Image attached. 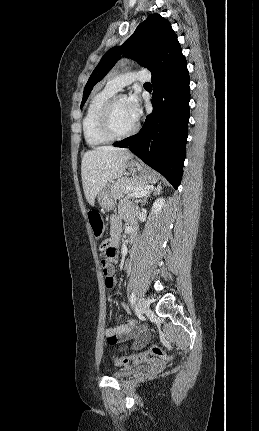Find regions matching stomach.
<instances>
[{"instance_id":"0dacf381","label":"stomach","mask_w":259,"mask_h":431,"mask_svg":"<svg viewBox=\"0 0 259 431\" xmlns=\"http://www.w3.org/2000/svg\"><path fill=\"white\" fill-rule=\"evenodd\" d=\"M128 169L133 176V178L144 182L145 184L148 183H156L158 181L157 174L149 169L148 167L144 166L142 163H139L137 161L131 160L128 162ZM98 202L99 204L109 210L112 209L115 205V199L112 195V185L107 184L105 187L102 188V190L98 194Z\"/></svg>"}]
</instances>
